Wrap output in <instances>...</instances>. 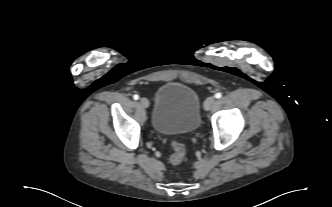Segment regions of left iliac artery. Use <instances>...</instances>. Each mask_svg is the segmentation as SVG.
Instances as JSON below:
<instances>
[{
  "mask_svg": "<svg viewBox=\"0 0 332 207\" xmlns=\"http://www.w3.org/2000/svg\"><path fill=\"white\" fill-rule=\"evenodd\" d=\"M221 97H222V94L220 92H218V93L215 94V98L219 99Z\"/></svg>",
  "mask_w": 332,
  "mask_h": 207,
  "instance_id": "obj_1",
  "label": "left iliac artery"
}]
</instances>
